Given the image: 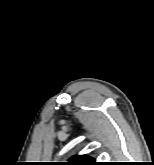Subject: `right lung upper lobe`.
Wrapping results in <instances>:
<instances>
[{
    "label": "right lung upper lobe",
    "mask_w": 154,
    "mask_h": 165,
    "mask_svg": "<svg viewBox=\"0 0 154 165\" xmlns=\"http://www.w3.org/2000/svg\"><path fill=\"white\" fill-rule=\"evenodd\" d=\"M69 165H97V162L86 155L76 156L70 159L69 162H67Z\"/></svg>",
    "instance_id": "obj_1"
}]
</instances>
